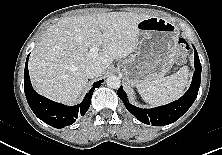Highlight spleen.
Listing matches in <instances>:
<instances>
[{
	"instance_id": "3e777b00",
	"label": "spleen",
	"mask_w": 222,
	"mask_h": 155,
	"mask_svg": "<svg viewBox=\"0 0 222 155\" xmlns=\"http://www.w3.org/2000/svg\"><path fill=\"white\" fill-rule=\"evenodd\" d=\"M188 68L182 67L178 72L156 80L136 85L141 97L150 105H162L180 98L188 83Z\"/></svg>"
}]
</instances>
